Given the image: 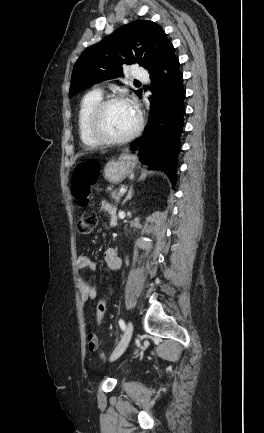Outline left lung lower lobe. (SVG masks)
<instances>
[{"label":"left lung lower lobe","instance_id":"0a47b994","mask_svg":"<svg viewBox=\"0 0 264 433\" xmlns=\"http://www.w3.org/2000/svg\"><path fill=\"white\" fill-rule=\"evenodd\" d=\"M150 78L153 90L151 108L156 109V115L143 136L133 141L131 147L134 150L139 148L142 162L162 167L174 186L185 114L183 74L174 51L150 71Z\"/></svg>","mask_w":264,"mask_h":433}]
</instances>
